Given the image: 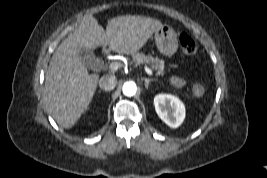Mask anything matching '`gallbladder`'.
Masks as SVG:
<instances>
[{
  "label": "gallbladder",
  "instance_id": "bac80fb5",
  "mask_svg": "<svg viewBox=\"0 0 267 178\" xmlns=\"http://www.w3.org/2000/svg\"><path fill=\"white\" fill-rule=\"evenodd\" d=\"M81 57L87 65H91L95 61L93 53L86 50L81 52Z\"/></svg>",
  "mask_w": 267,
  "mask_h": 178
}]
</instances>
